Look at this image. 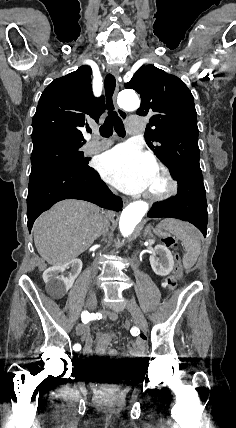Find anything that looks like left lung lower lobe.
Wrapping results in <instances>:
<instances>
[{
    "label": "left lung lower lobe",
    "instance_id": "left-lung-lower-lobe-1",
    "mask_svg": "<svg viewBox=\"0 0 236 428\" xmlns=\"http://www.w3.org/2000/svg\"><path fill=\"white\" fill-rule=\"evenodd\" d=\"M170 171L178 182V193L169 202L154 204L148 217L188 221L206 237L208 213L202 173L176 168Z\"/></svg>",
    "mask_w": 236,
    "mask_h": 428
}]
</instances>
